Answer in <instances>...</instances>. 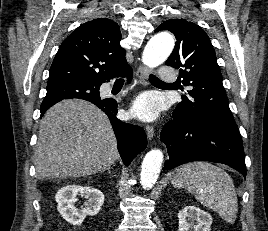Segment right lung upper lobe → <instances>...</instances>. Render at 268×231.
<instances>
[{
	"mask_svg": "<svg viewBox=\"0 0 268 231\" xmlns=\"http://www.w3.org/2000/svg\"><path fill=\"white\" fill-rule=\"evenodd\" d=\"M120 40V28L111 19L98 18L82 24L59 47L47 84L77 81L100 87L128 66ZM55 103L43 101L40 110L46 111Z\"/></svg>",
	"mask_w": 268,
	"mask_h": 231,
	"instance_id": "1",
	"label": "right lung upper lobe"
}]
</instances>
